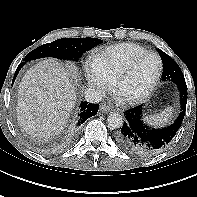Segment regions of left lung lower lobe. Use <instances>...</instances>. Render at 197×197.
<instances>
[{
	"instance_id": "left-lung-lower-lobe-1",
	"label": "left lung lower lobe",
	"mask_w": 197,
	"mask_h": 197,
	"mask_svg": "<svg viewBox=\"0 0 197 197\" xmlns=\"http://www.w3.org/2000/svg\"><path fill=\"white\" fill-rule=\"evenodd\" d=\"M177 86L180 91V113L173 124L163 128L148 126L143 118V105L125 112V121L116 135V142L123 150L139 158H147L169 145L186 113L187 85L183 83Z\"/></svg>"
}]
</instances>
